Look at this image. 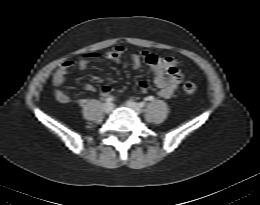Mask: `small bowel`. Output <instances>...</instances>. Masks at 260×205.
Returning <instances> with one entry per match:
<instances>
[{"instance_id":"1","label":"small bowel","mask_w":260,"mask_h":205,"mask_svg":"<svg viewBox=\"0 0 260 205\" xmlns=\"http://www.w3.org/2000/svg\"><path fill=\"white\" fill-rule=\"evenodd\" d=\"M126 49L122 45L115 46L111 51L104 54L102 57L104 60L112 62H120ZM99 55L96 53L86 54L84 57L78 60H66L55 71L52 77L53 92L56 100L62 104L70 102V97L64 92L66 76L71 68L77 70H84L88 63L94 60ZM130 62L134 68H139L142 62L146 63L154 74L153 82L158 89L159 95L163 98H171L177 90L183 74L179 69L175 59L170 56L160 57L149 51H143L140 54L131 53L129 55ZM85 89L87 91H95V86L92 84H86ZM140 92L145 94L148 90V83L146 81L139 82ZM100 93L104 97H112V89L108 86H104L100 89ZM80 104L86 102L85 99H80Z\"/></svg>"}]
</instances>
